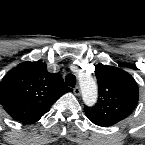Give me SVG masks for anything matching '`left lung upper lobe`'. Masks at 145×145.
<instances>
[{
    "mask_svg": "<svg viewBox=\"0 0 145 145\" xmlns=\"http://www.w3.org/2000/svg\"><path fill=\"white\" fill-rule=\"evenodd\" d=\"M95 74L99 98L95 106H84L85 113L94 124L109 127L132 113L139 99V88L129 73L113 66H97Z\"/></svg>",
    "mask_w": 145,
    "mask_h": 145,
    "instance_id": "obj_1",
    "label": "left lung upper lobe"
}]
</instances>
